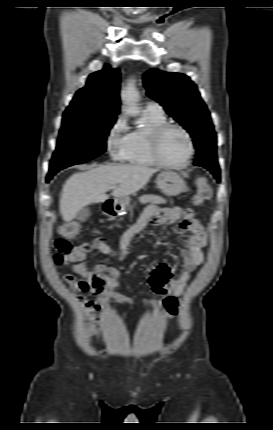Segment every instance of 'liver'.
<instances>
[{
	"label": "liver",
	"mask_w": 273,
	"mask_h": 430,
	"mask_svg": "<svg viewBox=\"0 0 273 430\" xmlns=\"http://www.w3.org/2000/svg\"><path fill=\"white\" fill-rule=\"evenodd\" d=\"M156 169L143 165H100L88 171L74 173L65 182L60 197V213L66 222L92 203L104 202L106 192L116 186L112 195L122 198L143 188Z\"/></svg>",
	"instance_id": "1"
}]
</instances>
